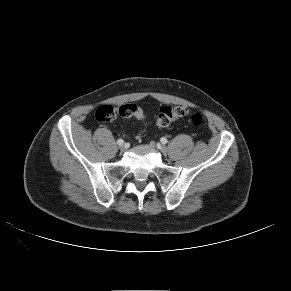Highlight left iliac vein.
<instances>
[{
  "label": "left iliac vein",
  "instance_id": "left-iliac-vein-1",
  "mask_svg": "<svg viewBox=\"0 0 291 291\" xmlns=\"http://www.w3.org/2000/svg\"><path fill=\"white\" fill-rule=\"evenodd\" d=\"M151 147H154V143H151ZM159 150L162 154H166L167 153V148L165 146H160Z\"/></svg>",
  "mask_w": 291,
  "mask_h": 291
}]
</instances>
